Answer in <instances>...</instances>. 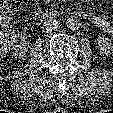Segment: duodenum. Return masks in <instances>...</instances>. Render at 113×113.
Masks as SVG:
<instances>
[{"instance_id": "obj_1", "label": "duodenum", "mask_w": 113, "mask_h": 113, "mask_svg": "<svg viewBox=\"0 0 113 113\" xmlns=\"http://www.w3.org/2000/svg\"><path fill=\"white\" fill-rule=\"evenodd\" d=\"M38 16L40 17V18H56V16L55 15H53V14H50L49 12H47V11H41L39 14H38Z\"/></svg>"}]
</instances>
